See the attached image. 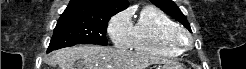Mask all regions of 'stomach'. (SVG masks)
Wrapping results in <instances>:
<instances>
[{"label": "stomach", "instance_id": "1", "mask_svg": "<svg viewBox=\"0 0 246 69\" xmlns=\"http://www.w3.org/2000/svg\"><path fill=\"white\" fill-rule=\"evenodd\" d=\"M156 69H185L181 65H175L172 63H165L163 65H159Z\"/></svg>", "mask_w": 246, "mask_h": 69}]
</instances>
